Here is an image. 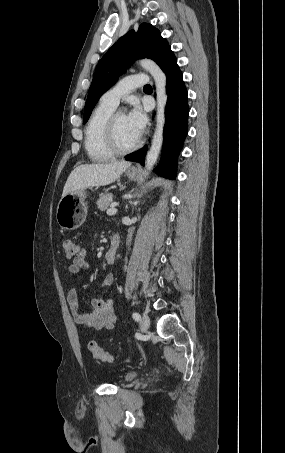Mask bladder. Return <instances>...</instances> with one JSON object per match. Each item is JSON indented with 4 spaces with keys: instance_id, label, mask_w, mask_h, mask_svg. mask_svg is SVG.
Masks as SVG:
<instances>
[{
    "instance_id": "bladder-1",
    "label": "bladder",
    "mask_w": 285,
    "mask_h": 453,
    "mask_svg": "<svg viewBox=\"0 0 285 453\" xmlns=\"http://www.w3.org/2000/svg\"><path fill=\"white\" fill-rule=\"evenodd\" d=\"M136 376H137L136 371H129L124 374L123 381H130V380L134 379Z\"/></svg>"
}]
</instances>
